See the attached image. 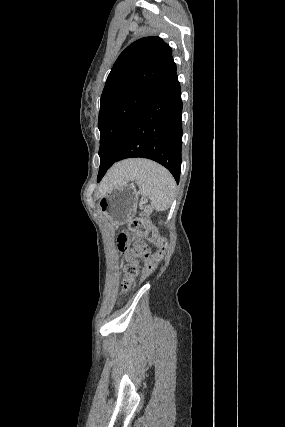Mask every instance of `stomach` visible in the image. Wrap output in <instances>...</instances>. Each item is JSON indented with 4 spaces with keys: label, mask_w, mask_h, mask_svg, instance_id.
I'll return each instance as SVG.
<instances>
[{
    "label": "stomach",
    "mask_w": 285,
    "mask_h": 427,
    "mask_svg": "<svg viewBox=\"0 0 285 427\" xmlns=\"http://www.w3.org/2000/svg\"><path fill=\"white\" fill-rule=\"evenodd\" d=\"M138 192L135 187L124 183L105 192L99 200V207L106 220L121 225L131 220L136 212Z\"/></svg>",
    "instance_id": "1"
}]
</instances>
